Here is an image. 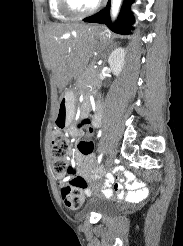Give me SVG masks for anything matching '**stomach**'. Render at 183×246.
Listing matches in <instances>:
<instances>
[{"mask_svg":"<svg viewBox=\"0 0 183 246\" xmlns=\"http://www.w3.org/2000/svg\"><path fill=\"white\" fill-rule=\"evenodd\" d=\"M106 39L105 33L101 29H97L95 32V43H103ZM75 114V94L70 91H64L58 102V109L55 118V125L58 128H66L72 122Z\"/></svg>","mask_w":183,"mask_h":246,"instance_id":"0dacf381","label":"stomach"}]
</instances>
